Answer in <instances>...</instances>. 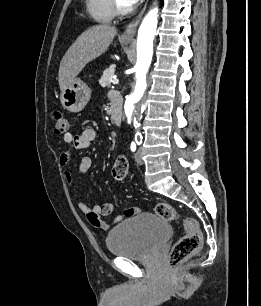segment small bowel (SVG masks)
<instances>
[{
    "label": "small bowel",
    "mask_w": 261,
    "mask_h": 306,
    "mask_svg": "<svg viewBox=\"0 0 261 306\" xmlns=\"http://www.w3.org/2000/svg\"><path fill=\"white\" fill-rule=\"evenodd\" d=\"M120 99L115 95L113 99ZM96 139V131L93 128H85L78 134L67 132L63 135V140L67 145V149L60 156V164L65 167L71 160L72 149L82 150L89 148ZM92 166V159L88 156L80 158L78 163L79 173L86 175ZM65 177L69 182H72L73 175L70 170L64 171ZM79 209L86 215L88 221L96 228L106 231L111 226L120 222L124 218L131 217L139 212L138 208H129L123 214L116 216L112 221L107 222L103 218L108 217L114 213V206L111 203H104L101 205L89 206L85 202L78 203Z\"/></svg>",
    "instance_id": "small-bowel-1"
}]
</instances>
